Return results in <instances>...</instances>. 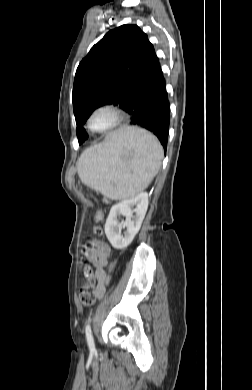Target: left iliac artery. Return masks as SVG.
Here are the masks:
<instances>
[{
	"label": "left iliac artery",
	"mask_w": 252,
	"mask_h": 390,
	"mask_svg": "<svg viewBox=\"0 0 252 390\" xmlns=\"http://www.w3.org/2000/svg\"><path fill=\"white\" fill-rule=\"evenodd\" d=\"M85 334H86V339H87V343H88L90 351H95V344H94L90 324L86 325Z\"/></svg>",
	"instance_id": "1"
}]
</instances>
